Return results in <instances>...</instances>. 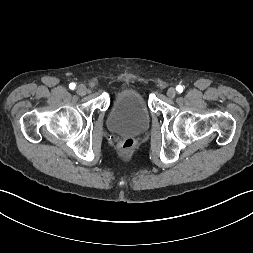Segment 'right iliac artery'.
Wrapping results in <instances>:
<instances>
[{
    "instance_id": "1",
    "label": "right iliac artery",
    "mask_w": 253,
    "mask_h": 253,
    "mask_svg": "<svg viewBox=\"0 0 253 253\" xmlns=\"http://www.w3.org/2000/svg\"><path fill=\"white\" fill-rule=\"evenodd\" d=\"M75 86H76L75 83H70L69 84V88L72 89V90L75 89Z\"/></svg>"
}]
</instances>
